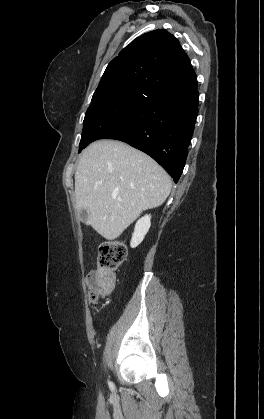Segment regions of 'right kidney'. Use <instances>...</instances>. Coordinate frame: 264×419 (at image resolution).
<instances>
[{"label": "right kidney", "mask_w": 264, "mask_h": 419, "mask_svg": "<svg viewBox=\"0 0 264 419\" xmlns=\"http://www.w3.org/2000/svg\"><path fill=\"white\" fill-rule=\"evenodd\" d=\"M151 216L150 215H145L144 217L140 218L136 225H135V229H134V233L132 235V239H131V247L135 248L137 247L144 239L145 235L147 234L150 225H151Z\"/></svg>", "instance_id": "right-kidney-1"}]
</instances>
